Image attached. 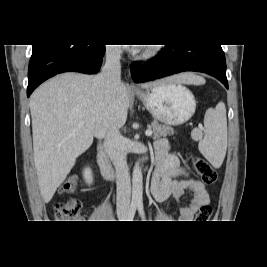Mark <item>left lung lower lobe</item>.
I'll list each match as a JSON object with an SVG mask.
<instances>
[{"label": "left lung lower lobe", "mask_w": 267, "mask_h": 267, "mask_svg": "<svg viewBox=\"0 0 267 267\" xmlns=\"http://www.w3.org/2000/svg\"><path fill=\"white\" fill-rule=\"evenodd\" d=\"M157 60L149 64L131 65L136 83L147 82L184 71L207 73L228 88L226 61L221 45L171 44L158 52Z\"/></svg>", "instance_id": "obj_1"}]
</instances>
